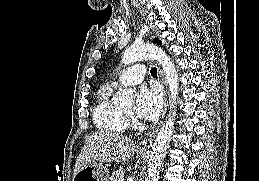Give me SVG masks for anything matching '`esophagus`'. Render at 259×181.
Here are the masks:
<instances>
[{
    "mask_svg": "<svg viewBox=\"0 0 259 181\" xmlns=\"http://www.w3.org/2000/svg\"><path fill=\"white\" fill-rule=\"evenodd\" d=\"M161 78H162V82L164 84L165 90H164V110H163V114H162V118L164 117L166 110H167V87H166V80L164 78V75L162 73V71H159ZM160 125L155 128L154 130H152L150 133L147 134V136L140 142L138 148L140 150H147L151 147L153 140L159 130Z\"/></svg>",
    "mask_w": 259,
    "mask_h": 181,
    "instance_id": "34e87169",
    "label": "esophagus"
}]
</instances>
